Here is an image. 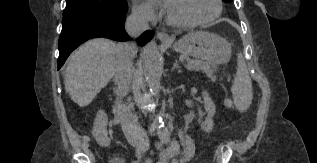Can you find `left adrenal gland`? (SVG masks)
<instances>
[{"label": "left adrenal gland", "instance_id": "left-adrenal-gland-1", "mask_svg": "<svg viewBox=\"0 0 317 163\" xmlns=\"http://www.w3.org/2000/svg\"><path fill=\"white\" fill-rule=\"evenodd\" d=\"M175 68H177L179 71H181V69H180V66H179V64H178V60H177V59L175 60V63H174V65H173V67H172V70H174Z\"/></svg>", "mask_w": 317, "mask_h": 163}]
</instances>
